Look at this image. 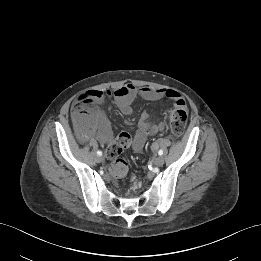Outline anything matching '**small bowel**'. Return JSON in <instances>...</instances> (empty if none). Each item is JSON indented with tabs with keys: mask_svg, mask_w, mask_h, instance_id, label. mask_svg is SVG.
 I'll list each match as a JSON object with an SVG mask.
<instances>
[{
	"mask_svg": "<svg viewBox=\"0 0 261 261\" xmlns=\"http://www.w3.org/2000/svg\"><path fill=\"white\" fill-rule=\"evenodd\" d=\"M107 96H113L114 103L120 112L125 115L132 113L133 104L138 98L150 101L168 98L173 101L176 108H186V102L182 95L176 90L167 88L136 87L132 84H126L118 87L113 92L100 90L90 92V97L97 104H101ZM164 128L163 123L149 125L147 123V114L143 113L140 128L133 136L132 148L136 151L141 150L147 137L162 132ZM80 134L84 140L96 139L101 144H109L113 140L110 121L102 108H92L83 118Z\"/></svg>",
	"mask_w": 261,
	"mask_h": 261,
	"instance_id": "small-bowel-1",
	"label": "small bowel"
}]
</instances>
